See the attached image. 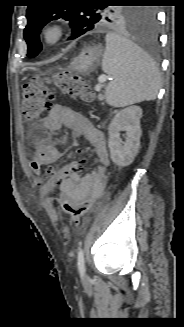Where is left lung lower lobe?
<instances>
[{"mask_svg":"<svg viewBox=\"0 0 184 327\" xmlns=\"http://www.w3.org/2000/svg\"><path fill=\"white\" fill-rule=\"evenodd\" d=\"M145 11V16L136 26V40L142 51L156 56L159 51L157 16L152 9H145ZM76 37L79 36L73 35L71 39Z\"/></svg>","mask_w":184,"mask_h":327,"instance_id":"1","label":"left lung lower lobe"}]
</instances>
